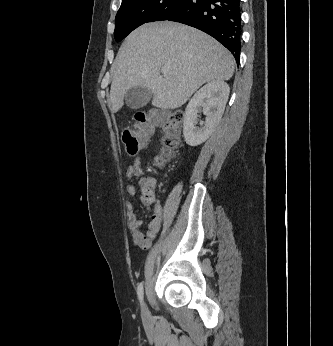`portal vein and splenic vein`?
Here are the masks:
<instances>
[{
	"label": "portal vein and splenic vein",
	"mask_w": 333,
	"mask_h": 346,
	"mask_svg": "<svg viewBox=\"0 0 333 346\" xmlns=\"http://www.w3.org/2000/svg\"><path fill=\"white\" fill-rule=\"evenodd\" d=\"M161 73H162L163 75H167L168 69H167V68H162V69H161Z\"/></svg>",
	"instance_id": "portal-vein-and-splenic-vein-1"
}]
</instances>
